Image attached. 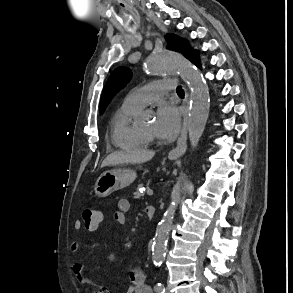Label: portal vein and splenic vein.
<instances>
[{
  "label": "portal vein and splenic vein",
  "instance_id": "18ae733b",
  "mask_svg": "<svg viewBox=\"0 0 293 293\" xmlns=\"http://www.w3.org/2000/svg\"><path fill=\"white\" fill-rule=\"evenodd\" d=\"M147 195L148 196H152L153 195V190L152 189H148L147 190Z\"/></svg>",
  "mask_w": 293,
  "mask_h": 293
}]
</instances>
